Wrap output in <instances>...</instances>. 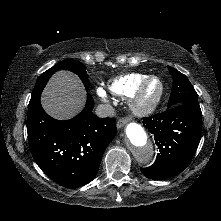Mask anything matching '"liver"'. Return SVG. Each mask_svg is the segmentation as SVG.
<instances>
[{
	"instance_id": "obj_1",
	"label": "liver",
	"mask_w": 221,
	"mask_h": 221,
	"mask_svg": "<svg viewBox=\"0 0 221 221\" xmlns=\"http://www.w3.org/2000/svg\"><path fill=\"white\" fill-rule=\"evenodd\" d=\"M85 100V89L79 78L64 70L50 78L41 96L44 110L58 120L75 116L82 110Z\"/></svg>"
}]
</instances>
